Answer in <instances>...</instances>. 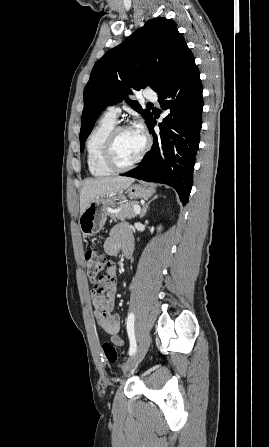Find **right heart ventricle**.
<instances>
[{"mask_svg": "<svg viewBox=\"0 0 269 447\" xmlns=\"http://www.w3.org/2000/svg\"><path fill=\"white\" fill-rule=\"evenodd\" d=\"M115 124L116 120L104 115L87 139V166L93 176L103 177L114 172L104 162L103 154L106 138Z\"/></svg>", "mask_w": 269, "mask_h": 447, "instance_id": "1", "label": "right heart ventricle"}]
</instances>
